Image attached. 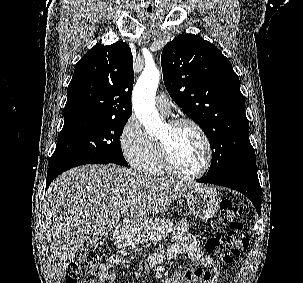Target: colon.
Listing matches in <instances>:
<instances>
[{"instance_id":"colon-1","label":"colon","mask_w":303,"mask_h":283,"mask_svg":"<svg viewBox=\"0 0 303 283\" xmlns=\"http://www.w3.org/2000/svg\"><path fill=\"white\" fill-rule=\"evenodd\" d=\"M243 211L229 200L220 204V220L228 226L225 233L215 234L206 239L204 246L221 263H230L248 246L249 240L244 224L240 221ZM108 256L101 248H92L72 260L66 273L67 283H97V268L100 261ZM205 275L203 269L190 270L176 275L172 283L200 282Z\"/></svg>"}]
</instances>
